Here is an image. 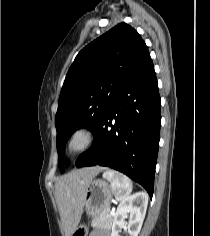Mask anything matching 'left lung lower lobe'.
Instances as JSON below:
<instances>
[{
	"label": "left lung lower lobe",
	"instance_id": "obj_1",
	"mask_svg": "<svg viewBox=\"0 0 210 236\" xmlns=\"http://www.w3.org/2000/svg\"><path fill=\"white\" fill-rule=\"evenodd\" d=\"M161 100L152 60L119 92L75 168L101 165L123 172L153 195Z\"/></svg>",
	"mask_w": 210,
	"mask_h": 236
}]
</instances>
